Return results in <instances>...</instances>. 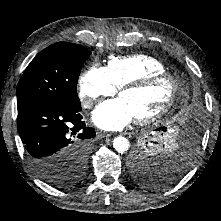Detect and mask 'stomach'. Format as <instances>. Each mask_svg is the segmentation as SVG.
Here are the masks:
<instances>
[{
	"label": "stomach",
	"instance_id": "0dacf381",
	"mask_svg": "<svg viewBox=\"0 0 221 221\" xmlns=\"http://www.w3.org/2000/svg\"><path fill=\"white\" fill-rule=\"evenodd\" d=\"M170 135H172L173 138L168 137L166 142H167L168 146L173 148L175 146V144L177 143L178 136L176 135V133H173L172 131H171Z\"/></svg>",
	"mask_w": 221,
	"mask_h": 221
}]
</instances>
